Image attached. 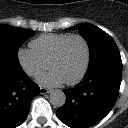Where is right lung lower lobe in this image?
I'll return each instance as SVG.
<instances>
[{"mask_svg":"<svg viewBox=\"0 0 128 128\" xmlns=\"http://www.w3.org/2000/svg\"><path fill=\"white\" fill-rule=\"evenodd\" d=\"M40 90L23 71L0 67V128H15L27 117Z\"/></svg>","mask_w":128,"mask_h":128,"instance_id":"98d812e1","label":"right lung lower lobe"}]
</instances>
